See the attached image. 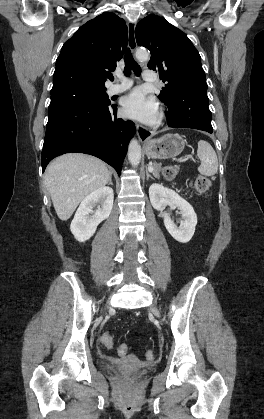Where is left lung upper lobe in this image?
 Instances as JSON below:
<instances>
[{
  "instance_id": "obj_1",
  "label": "left lung upper lobe",
  "mask_w": 264,
  "mask_h": 419,
  "mask_svg": "<svg viewBox=\"0 0 264 419\" xmlns=\"http://www.w3.org/2000/svg\"><path fill=\"white\" fill-rule=\"evenodd\" d=\"M135 37L152 54L148 67L166 82L159 95L162 101L176 103L184 95L207 91L201 57L185 33L166 19L150 15L137 24Z\"/></svg>"
}]
</instances>
